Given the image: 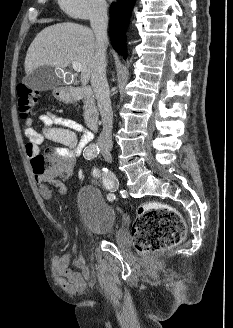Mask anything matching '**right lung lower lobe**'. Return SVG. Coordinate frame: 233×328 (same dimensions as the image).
<instances>
[{
	"label": "right lung lower lobe",
	"mask_w": 233,
	"mask_h": 328,
	"mask_svg": "<svg viewBox=\"0 0 233 328\" xmlns=\"http://www.w3.org/2000/svg\"><path fill=\"white\" fill-rule=\"evenodd\" d=\"M136 0H118L110 7V39L113 48L126 58L125 33Z\"/></svg>",
	"instance_id": "obj_1"
}]
</instances>
